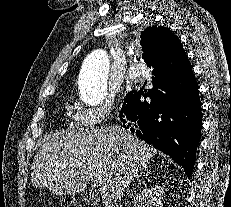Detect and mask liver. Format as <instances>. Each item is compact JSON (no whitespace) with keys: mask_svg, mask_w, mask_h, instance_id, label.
I'll use <instances>...</instances> for the list:
<instances>
[{"mask_svg":"<svg viewBox=\"0 0 231 207\" xmlns=\"http://www.w3.org/2000/svg\"><path fill=\"white\" fill-rule=\"evenodd\" d=\"M157 150L118 125L57 132L41 141L31 184L55 195H74L90 180L101 181L102 203L118 207L127 186Z\"/></svg>","mask_w":231,"mask_h":207,"instance_id":"obj_1","label":"liver"}]
</instances>
